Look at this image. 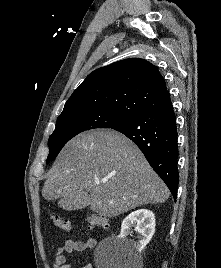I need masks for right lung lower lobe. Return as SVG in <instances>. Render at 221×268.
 I'll use <instances>...</instances> for the list:
<instances>
[{"label":"right lung lower lobe","instance_id":"98d812e1","mask_svg":"<svg viewBox=\"0 0 221 268\" xmlns=\"http://www.w3.org/2000/svg\"><path fill=\"white\" fill-rule=\"evenodd\" d=\"M112 129L130 138L163 179L174 199L177 196V127L172 104L122 122Z\"/></svg>","mask_w":221,"mask_h":268}]
</instances>
